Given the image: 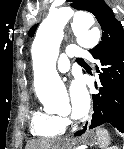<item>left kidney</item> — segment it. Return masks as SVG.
Wrapping results in <instances>:
<instances>
[{
    "label": "left kidney",
    "mask_w": 124,
    "mask_h": 149,
    "mask_svg": "<svg viewBox=\"0 0 124 149\" xmlns=\"http://www.w3.org/2000/svg\"><path fill=\"white\" fill-rule=\"evenodd\" d=\"M109 149H118V147L113 146V147H110Z\"/></svg>",
    "instance_id": "obj_1"
}]
</instances>
